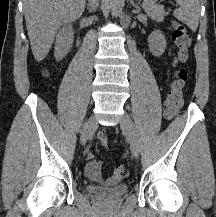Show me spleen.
I'll return each mask as SVG.
<instances>
[{"label":"spleen","instance_id":"3e777b00","mask_svg":"<svg viewBox=\"0 0 216 217\" xmlns=\"http://www.w3.org/2000/svg\"><path fill=\"white\" fill-rule=\"evenodd\" d=\"M180 8L174 11V16L192 31H196L200 18L199 0H176Z\"/></svg>","mask_w":216,"mask_h":217}]
</instances>
